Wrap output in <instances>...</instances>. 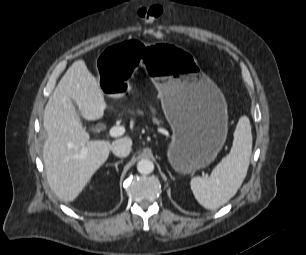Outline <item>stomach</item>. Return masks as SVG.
<instances>
[{
	"mask_svg": "<svg viewBox=\"0 0 306 255\" xmlns=\"http://www.w3.org/2000/svg\"><path fill=\"white\" fill-rule=\"evenodd\" d=\"M149 69L173 137L167 151L172 167L191 174L210 164L227 136V105L218 87L175 43L134 38L107 47L97 58L98 85L108 97L130 90L128 76Z\"/></svg>",
	"mask_w": 306,
	"mask_h": 255,
	"instance_id": "1",
	"label": "stomach"
}]
</instances>
